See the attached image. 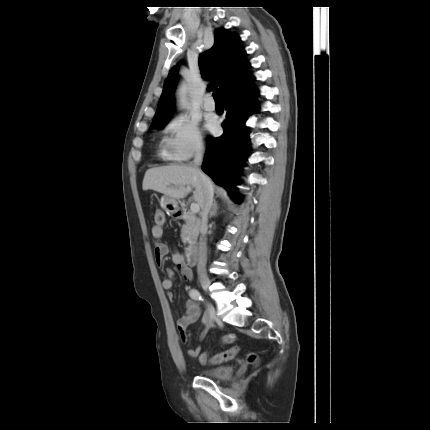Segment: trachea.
<instances>
[{
    "instance_id": "obj_1",
    "label": "trachea",
    "mask_w": 430,
    "mask_h": 430,
    "mask_svg": "<svg viewBox=\"0 0 430 430\" xmlns=\"http://www.w3.org/2000/svg\"><path fill=\"white\" fill-rule=\"evenodd\" d=\"M221 93H222L221 89H216L213 93L214 99L217 101H221L222 100Z\"/></svg>"
}]
</instances>
